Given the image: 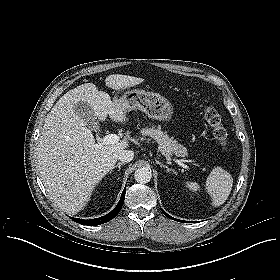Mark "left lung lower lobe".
<instances>
[{"label": "left lung lower lobe", "mask_w": 280, "mask_h": 280, "mask_svg": "<svg viewBox=\"0 0 280 280\" xmlns=\"http://www.w3.org/2000/svg\"><path fill=\"white\" fill-rule=\"evenodd\" d=\"M161 211L163 212V214L165 215V216H167L168 218H170V219H173V220H176V221H179V222H184V221H182V220H178V219H175V218H173V217H171L170 215H168L164 210H162L161 209Z\"/></svg>", "instance_id": "1"}]
</instances>
